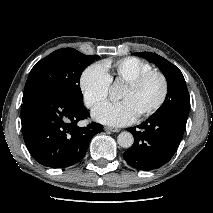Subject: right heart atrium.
Returning <instances> with one entry per match:
<instances>
[{
  "label": "right heart atrium",
  "instance_id": "right-heart-atrium-1",
  "mask_svg": "<svg viewBox=\"0 0 213 213\" xmlns=\"http://www.w3.org/2000/svg\"><path fill=\"white\" fill-rule=\"evenodd\" d=\"M110 79L100 64H91L80 76L79 86L87 107L93 108L104 102L109 94Z\"/></svg>",
  "mask_w": 213,
  "mask_h": 213
}]
</instances>
